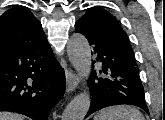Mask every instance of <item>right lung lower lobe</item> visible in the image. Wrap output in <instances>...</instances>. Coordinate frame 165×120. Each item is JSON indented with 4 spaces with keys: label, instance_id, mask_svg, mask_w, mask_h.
<instances>
[{
    "label": "right lung lower lobe",
    "instance_id": "right-lung-lower-lobe-1",
    "mask_svg": "<svg viewBox=\"0 0 165 120\" xmlns=\"http://www.w3.org/2000/svg\"><path fill=\"white\" fill-rule=\"evenodd\" d=\"M65 91V73L44 37L0 53V111L47 120Z\"/></svg>",
    "mask_w": 165,
    "mask_h": 120
}]
</instances>
